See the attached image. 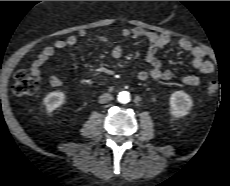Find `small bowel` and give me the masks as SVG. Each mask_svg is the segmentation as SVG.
I'll use <instances>...</instances> for the list:
<instances>
[{
	"instance_id": "1",
	"label": "small bowel",
	"mask_w": 230,
	"mask_h": 186,
	"mask_svg": "<svg viewBox=\"0 0 230 186\" xmlns=\"http://www.w3.org/2000/svg\"><path fill=\"white\" fill-rule=\"evenodd\" d=\"M87 33V30H80L79 36L86 37ZM122 35L124 37L130 36L132 38H143L148 41L146 59L151 65V68L149 70H141L138 73V79L140 81H146L148 79L155 81H167L172 78V73L169 70L164 69L161 61L156 57L157 51L171 42L170 36L148 32L139 27L126 28L122 31ZM96 40L104 44H109V39L104 35H98ZM78 43L79 39L77 36L69 35L65 39L56 40L51 45L46 46L32 62L30 72L37 76L41 75L42 66L57 51L74 47ZM177 47L182 51L190 53L192 66L202 74H211L215 70L214 63L207 59V51L203 47L193 45V43L188 39H179L177 41ZM122 55L123 51L121 47H113L111 51L113 59H120ZM49 83L53 87H60L63 84L61 78L57 75H51ZM183 83L187 86H197L199 85L200 80L195 75H187L183 78Z\"/></svg>"
}]
</instances>
